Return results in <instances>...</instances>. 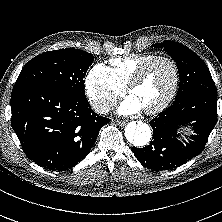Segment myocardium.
<instances>
[{"label": "myocardium", "mask_w": 222, "mask_h": 222, "mask_svg": "<svg viewBox=\"0 0 222 222\" xmlns=\"http://www.w3.org/2000/svg\"><path fill=\"white\" fill-rule=\"evenodd\" d=\"M158 61L167 62L172 67L173 75H174L173 84H172V88L169 94L165 97V99L160 104L152 108L144 109L147 114H156L166 109L175 98L178 88H179L180 71H179V66L177 62L169 56L157 55L149 59L145 63H143L136 70V72L133 74V76L130 78L127 84V91L131 93L132 89L142 81L149 67Z\"/></svg>", "instance_id": "f54148a6"}]
</instances>
